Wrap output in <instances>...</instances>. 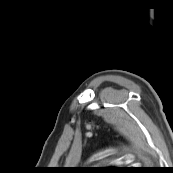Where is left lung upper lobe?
I'll use <instances>...</instances> for the list:
<instances>
[{
  "mask_svg": "<svg viewBox=\"0 0 173 173\" xmlns=\"http://www.w3.org/2000/svg\"><path fill=\"white\" fill-rule=\"evenodd\" d=\"M96 171L105 172V173H119L122 172L123 169L118 167H103V168H97Z\"/></svg>",
  "mask_w": 173,
  "mask_h": 173,
  "instance_id": "obj_1",
  "label": "left lung upper lobe"
}]
</instances>
